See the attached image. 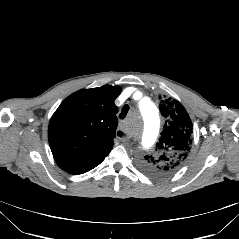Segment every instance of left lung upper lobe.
Instances as JSON below:
<instances>
[{
    "mask_svg": "<svg viewBox=\"0 0 239 239\" xmlns=\"http://www.w3.org/2000/svg\"><path fill=\"white\" fill-rule=\"evenodd\" d=\"M159 109L165 125L154 151L141 161L142 167L156 176L176 172L191 150L193 125L182 104L171 97L161 99Z\"/></svg>",
    "mask_w": 239,
    "mask_h": 239,
    "instance_id": "5c2ea615",
    "label": "left lung upper lobe"
}]
</instances>
